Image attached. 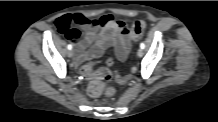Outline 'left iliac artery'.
Instances as JSON below:
<instances>
[{"instance_id":"1","label":"left iliac artery","mask_w":218,"mask_h":122,"mask_svg":"<svg viewBox=\"0 0 218 122\" xmlns=\"http://www.w3.org/2000/svg\"><path fill=\"white\" fill-rule=\"evenodd\" d=\"M140 48H142V49H144V48H145V45H144V43H143V42L140 44Z\"/></svg>"}]
</instances>
